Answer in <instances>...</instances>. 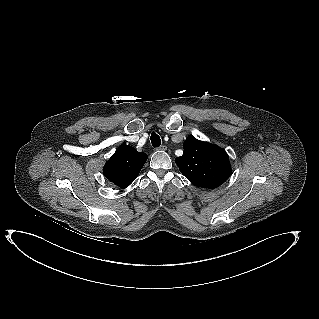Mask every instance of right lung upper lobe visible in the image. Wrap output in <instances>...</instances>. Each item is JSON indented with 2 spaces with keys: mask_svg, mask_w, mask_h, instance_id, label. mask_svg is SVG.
I'll list each match as a JSON object with an SVG mask.
<instances>
[{
  "mask_svg": "<svg viewBox=\"0 0 319 319\" xmlns=\"http://www.w3.org/2000/svg\"><path fill=\"white\" fill-rule=\"evenodd\" d=\"M147 155L128 145H121L104 166V175L120 188L128 187L139 174Z\"/></svg>",
  "mask_w": 319,
  "mask_h": 319,
  "instance_id": "cb5924a9",
  "label": "right lung upper lobe"
}]
</instances>
